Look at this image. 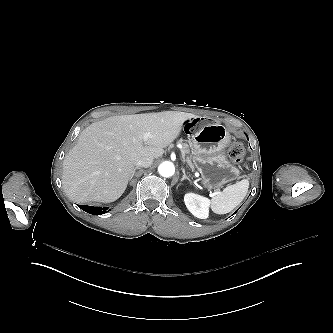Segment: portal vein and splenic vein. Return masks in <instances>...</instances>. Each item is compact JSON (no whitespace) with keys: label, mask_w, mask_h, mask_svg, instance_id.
<instances>
[{"label":"portal vein and splenic vein","mask_w":333,"mask_h":333,"mask_svg":"<svg viewBox=\"0 0 333 333\" xmlns=\"http://www.w3.org/2000/svg\"><path fill=\"white\" fill-rule=\"evenodd\" d=\"M149 137H150V134H149V133H145V134L143 135V140H144V141H147Z\"/></svg>","instance_id":"portal-vein-and-splenic-vein-1"}]
</instances>
